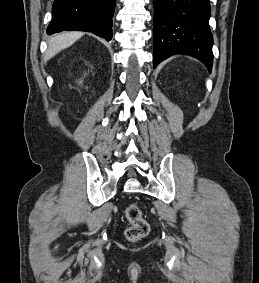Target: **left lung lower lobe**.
I'll return each mask as SVG.
<instances>
[{"instance_id": "1", "label": "left lung lower lobe", "mask_w": 259, "mask_h": 283, "mask_svg": "<svg viewBox=\"0 0 259 283\" xmlns=\"http://www.w3.org/2000/svg\"><path fill=\"white\" fill-rule=\"evenodd\" d=\"M153 4L154 68L173 54H188L211 72L210 0H153Z\"/></svg>"}]
</instances>
